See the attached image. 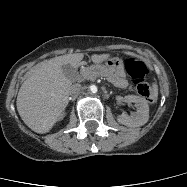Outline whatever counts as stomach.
<instances>
[{
  "label": "stomach",
  "mask_w": 187,
  "mask_h": 187,
  "mask_svg": "<svg viewBox=\"0 0 187 187\" xmlns=\"http://www.w3.org/2000/svg\"><path fill=\"white\" fill-rule=\"evenodd\" d=\"M106 68L115 79L116 83L125 77L123 60L118 57L108 59L106 62Z\"/></svg>",
  "instance_id": "1"
}]
</instances>
